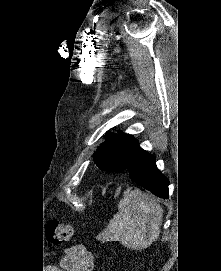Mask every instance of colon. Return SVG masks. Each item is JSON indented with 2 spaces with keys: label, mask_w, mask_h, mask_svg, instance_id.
<instances>
[{
  "label": "colon",
  "mask_w": 221,
  "mask_h": 271,
  "mask_svg": "<svg viewBox=\"0 0 221 271\" xmlns=\"http://www.w3.org/2000/svg\"><path fill=\"white\" fill-rule=\"evenodd\" d=\"M48 227L50 229V235L52 236L53 241L57 244L67 242L73 233L71 226L64 222L52 220L48 223Z\"/></svg>",
  "instance_id": "5ec220e1"
}]
</instances>
